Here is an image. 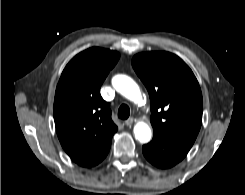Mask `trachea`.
<instances>
[{"mask_svg":"<svg viewBox=\"0 0 245 195\" xmlns=\"http://www.w3.org/2000/svg\"><path fill=\"white\" fill-rule=\"evenodd\" d=\"M130 115V108L126 104H122L118 110V117L120 119H127Z\"/></svg>","mask_w":245,"mask_h":195,"instance_id":"1","label":"trachea"}]
</instances>
